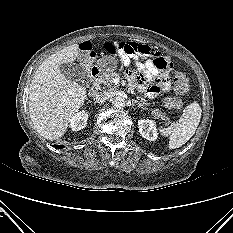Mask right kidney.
Instances as JSON below:
<instances>
[{"label":"right kidney","mask_w":233,"mask_h":233,"mask_svg":"<svg viewBox=\"0 0 233 233\" xmlns=\"http://www.w3.org/2000/svg\"><path fill=\"white\" fill-rule=\"evenodd\" d=\"M87 120H88L87 112H85L84 110L80 111L71 119L70 127L73 131H79L86 126Z\"/></svg>","instance_id":"obj_1"}]
</instances>
